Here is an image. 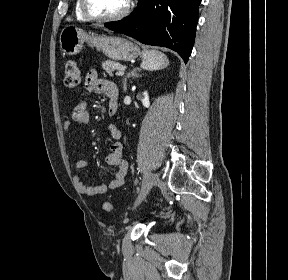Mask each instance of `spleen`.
Instances as JSON below:
<instances>
[{
    "label": "spleen",
    "instance_id": "1",
    "mask_svg": "<svg viewBox=\"0 0 288 280\" xmlns=\"http://www.w3.org/2000/svg\"><path fill=\"white\" fill-rule=\"evenodd\" d=\"M169 65L166 55L157 50H144L142 52L141 67L148 71L164 69Z\"/></svg>",
    "mask_w": 288,
    "mask_h": 280
}]
</instances>
